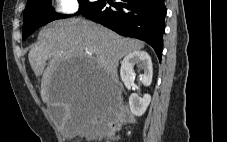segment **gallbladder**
<instances>
[{
    "instance_id": "bac80fb5",
    "label": "gallbladder",
    "mask_w": 227,
    "mask_h": 142,
    "mask_svg": "<svg viewBox=\"0 0 227 142\" xmlns=\"http://www.w3.org/2000/svg\"><path fill=\"white\" fill-rule=\"evenodd\" d=\"M48 111L50 116L57 122H60L65 114V109L61 106H50Z\"/></svg>"
}]
</instances>
